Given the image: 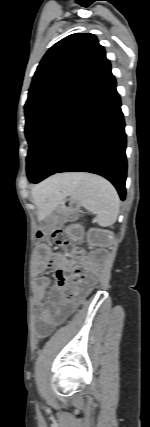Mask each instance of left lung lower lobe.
<instances>
[{
    "mask_svg": "<svg viewBox=\"0 0 150 427\" xmlns=\"http://www.w3.org/2000/svg\"><path fill=\"white\" fill-rule=\"evenodd\" d=\"M110 66L93 79L34 135L27 176L38 183L57 172L101 175L125 199L126 134Z\"/></svg>",
    "mask_w": 150,
    "mask_h": 427,
    "instance_id": "obj_1",
    "label": "left lung lower lobe"
}]
</instances>
